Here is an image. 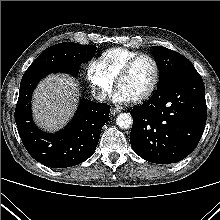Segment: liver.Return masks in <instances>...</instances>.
Masks as SVG:
<instances>
[{
    "mask_svg": "<svg viewBox=\"0 0 220 220\" xmlns=\"http://www.w3.org/2000/svg\"><path fill=\"white\" fill-rule=\"evenodd\" d=\"M80 96L78 83L68 75L52 74L42 80L33 95L36 124L47 131L63 127L73 116Z\"/></svg>",
    "mask_w": 220,
    "mask_h": 220,
    "instance_id": "obj_1",
    "label": "liver"
}]
</instances>
